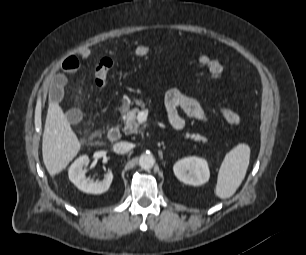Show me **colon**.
Segmentation results:
<instances>
[{
	"instance_id": "colon-1",
	"label": "colon",
	"mask_w": 306,
	"mask_h": 255,
	"mask_svg": "<svg viewBox=\"0 0 306 255\" xmlns=\"http://www.w3.org/2000/svg\"><path fill=\"white\" fill-rule=\"evenodd\" d=\"M134 53L137 57L144 58L148 55L149 48L145 44H138L134 49ZM199 61L208 68L210 76L212 78H218L224 72L223 64L216 59H212L206 55H202L199 57ZM113 67L114 62L111 58L106 57L100 60L95 72V80L97 85L101 87L106 85L109 74L113 70ZM217 108L221 116L229 124L233 126H240L242 124V118L235 111L221 104H218Z\"/></svg>"
}]
</instances>
